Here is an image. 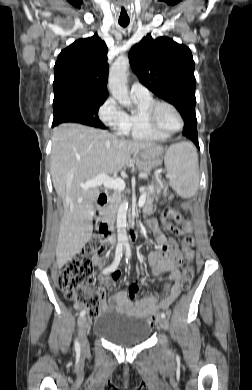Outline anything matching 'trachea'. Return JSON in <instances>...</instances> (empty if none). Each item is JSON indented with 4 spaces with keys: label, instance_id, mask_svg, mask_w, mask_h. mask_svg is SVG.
<instances>
[{
    "label": "trachea",
    "instance_id": "obj_1",
    "mask_svg": "<svg viewBox=\"0 0 252 390\" xmlns=\"http://www.w3.org/2000/svg\"><path fill=\"white\" fill-rule=\"evenodd\" d=\"M129 19H119V24L122 26V27H127V25L129 24Z\"/></svg>",
    "mask_w": 252,
    "mask_h": 390
}]
</instances>
